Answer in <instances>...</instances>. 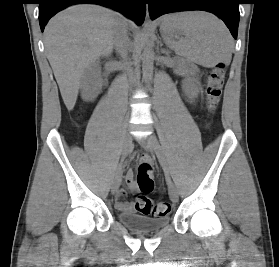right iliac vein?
Segmentation results:
<instances>
[{
  "instance_id": "1",
  "label": "right iliac vein",
  "mask_w": 279,
  "mask_h": 267,
  "mask_svg": "<svg viewBox=\"0 0 279 267\" xmlns=\"http://www.w3.org/2000/svg\"><path fill=\"white\" fill-rule=\"evenodd\" d=\"M131 146H132V137L130 134H126L123 140V147H122L123 156L127 155V153L131 149ZM120 182H121V175L120 172H117L111 186L112 194H115L117 192L120 186Z\"/></svg>"
}]
</instances>
